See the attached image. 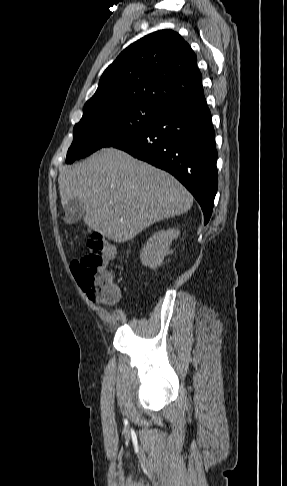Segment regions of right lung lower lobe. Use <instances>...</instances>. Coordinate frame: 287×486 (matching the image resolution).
I'll use <instances>...</instances> for the list:
<instances>
[{"mask_svg": "<svg viewBox=\"0 0 287 486\" xmlns=\"http://www.w3.org/2000/svg\"><path fill=\"white\" fill-rule=\"evenodd\" d=\"M175 176L196 198L206 224L217 192V150L204 92L169 107L134 138L113 146Z\"/></svg>", "mask_w": 287, "mask_h": 486, "instance_id": "right-lung-lower-lobe-1", "label": "right lung lower lobe"}]
</instances>
